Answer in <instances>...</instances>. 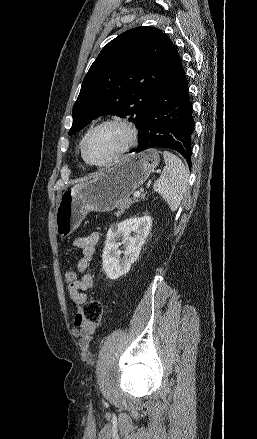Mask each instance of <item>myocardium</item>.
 Wrapping results in <instances>:
<instances>
[{
	"label": "myocardium",
	"mask_w": 257,
	"mask_h": 439,
	"mask_svg": "<svg viewBox=\"0 0 257 439\" xmlns=\"http://www.w3.org/2000/svg\"><path fill=\"white\" fill-rule=\"evenodd\" d=\"M105 126H118V127H121L122 129H124V131L127 134V144L110 160H108L106 162H95L88 156V151H87L88 144H89V141H90L91 137L93 136V134ZM137 138H138L137 131L131 123H129L125 120H120V119L104 120V121L98 123L97 125H95L94 127H92L87 132V134L83 140V144H82V157L85 160V162L87 164H89L90 166H93V167H96L99 169L108 168V167L114 165L120 159H122L136 145Z\"/></svg>",
	"instance_id": "1"
}]
</instances>
